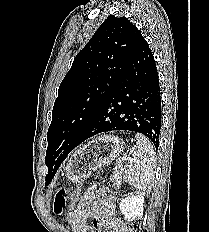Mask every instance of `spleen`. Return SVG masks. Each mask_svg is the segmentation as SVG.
Wrapping results in <instances>:
<instances>
[{"label": "spleen", "instance_id": "obj_1", "mask_svg": "<svg viewBox=\"0 0 209 232\" xmlns=\"http://www.w3.org/2000/svg\"><path fill=\"white\" fill-rule=\"evenodd\" d=\"M137 143L130 150L133 160L126 165L125 176L129 185L149 193L155 178L156 157L151 142L136 134Z\"/></svg>", "mask_w": 209, "mask_h": 232}]
</instances>
